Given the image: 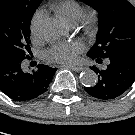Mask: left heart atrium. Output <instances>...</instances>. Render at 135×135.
<instances>
[{
  "label": "left heart atrium",
  "instance_id": "39dd6f15",
  "mask_svg": "<svg viewBox=\"0 0 135 135\" xmlns=\"http://www.w3.org/2000/svg\"><path fill=\"white\" fill-rule=\"evenodd\" d=\"M83 50L84 45L80 42H59L47 50L46 56L54 62L73 64Z\"/></svg>",
  "mask_w": 135,
  "mask_h": 135
}]
</instances>
